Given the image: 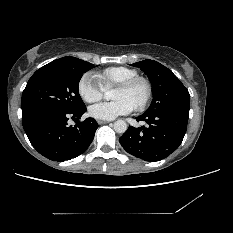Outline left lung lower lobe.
Wrapping results in <instances>:
<instances>
[{
  "instance_id": "0a47b994",
  "label": "left lung lower lobe",
  "mask_w": 233,
  "mask_h": 233,
  "mask_svg": "<svg viewBox=\"0 0 233 233\" xmlns=\"http://www.w3.org/2000/svg\"><path fill=\"white\" fill-rule=\"evenodd\" d=\"M189 108L144 113L136 117L149 126H129L119 138L131 155L145 161H159L173 153L181 144L187 130Z\"/></svg>"
}]
</instances>
